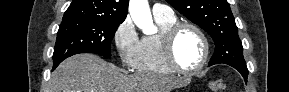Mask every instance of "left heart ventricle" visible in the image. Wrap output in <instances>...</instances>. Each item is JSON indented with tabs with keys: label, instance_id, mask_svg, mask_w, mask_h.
<instances>
[{
	"label": "left heart ventricle",
	"instance_id": "1",
	"mask_svg": "<svg viewBox=\"0 0 289 92\" xmlns=\"http://www.w3.org/2000/svg\"><path fill=\"white\" fill-rule=\"evenodd\" d=\"M203 43L199 35L192 29L182 30L174 45L177 63L185 69H193L199 65L203 56Z\"/></svg>",
	"mask_w": 289,
	"mask_h": 92
}]
</instances>
